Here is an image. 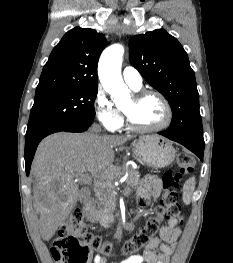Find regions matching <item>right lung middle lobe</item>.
Returning <instances> with one entry per match:
<instances>
[{
  "label": "right lung middle lobe",
  "instance_id": "obj_1",
  "mask_svg": "<svg viewBox=\"0 0 233 263\" xmlns=\"http://www.w3.org/2000/svg\"><path fill=\"white\" fill-rule=\"evenodd\" d=\"M96 95L97 86L59 89L35 95L26 136L54 124L93 119Z\"/></svg>",
  "mask_w": 233,
  "mask_h": 263
}]
</instances>
